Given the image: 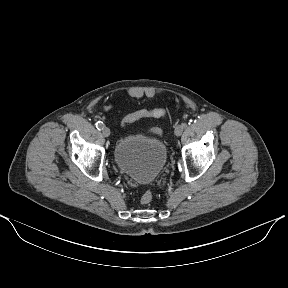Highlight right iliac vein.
Listing matches in <instances>:
<instances>
[{
	"label": "right iliac vein",
	"mask_w": 288,
	"mask_h": 288,
	"mask_svg": "<svg viewBox=\"0 0 288 288\" xmlns=\"http://www.w3.org/2000/svg\"><path fill=\"white\" fill-rule=\"evenodd\" d=\"M102 134H103L104 137H109L110 136V129L107 128V127H104L102 129Z\"/></svg>",
	"instance_id": "obj_1"
}]
</instances>
